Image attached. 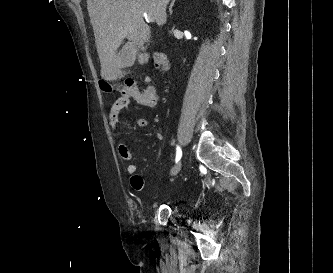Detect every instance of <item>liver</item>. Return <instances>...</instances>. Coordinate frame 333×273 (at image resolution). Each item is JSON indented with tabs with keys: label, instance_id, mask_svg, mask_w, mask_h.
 Returning <instances> with one entry per match:
<instances>
[{
	"label": "liver",
	"instance_id": "6515ba94",
	"mask_svg": "<svg viewBox=\"0 0 333 273\" xmlns=\"http://www.w3.org/2000/svg\"><path fill=\"white\" fill-rule=\"evenodd\" d=\"M169 1L87 0L103 79L115 81L126 75L121 70L118 52L125 38L141 49L138 62H148L150 55L145 52L144 44L149 42L151 29L144 21V14L151 15L157 25L163 26L167 21L166 7Z\"/></svg>",
	"mask_w": 333,
	"mask_h": 273
}]
</instances>
